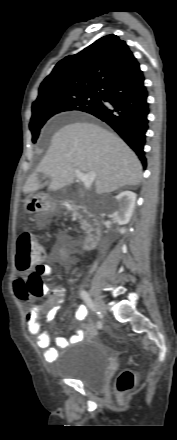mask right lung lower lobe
<instances>
[{"label":"right lung lower lobe","instance_id":"98d812e1","mask_svg":"<svg viewBox=\"0 0 177 440\" xmlns=\"http://www.w3.org/2000/svg\"><path fill=\"white\" fill-rule=\"evenodd\" d=\"M148 92L140 68L103 94L101 102L86 111L110 125L134 150L146 167L144 145L148 130ZM108 102L111 105H105Z\"/></svg>","mask_w":177,"mask_h":440}]
</instances>
